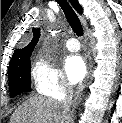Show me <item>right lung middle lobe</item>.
<instances>
[{
    "mask_svg": "<svg viewBox=\"0 0 122 123\" xmlns=\"http://www.w3.org/2000/svg\"><path fill=\"white\" fill-rule=\"evenodd\" d=\"M30 59L8 71L10 95L14 97L21 92H31Z\"/></svg>",
    "mask_w": 122,
    "mask_h": 123,
    "instance_id": "1",
    "label": "right lung middle lobe"
}]
</instances>
